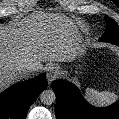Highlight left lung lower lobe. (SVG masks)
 <instances>
[{"label": "left lung lower lobe", "mask_w": 119, "mask_h": 119, "mask_svg": "<svg viewBox=\"0 0 119 119\" xmlns=\"http://www.w3.org/2000/svg\"><path fill=\"white\" fill-rule=\"evenodd\" d=\"M113 43L119 46L118 40ZM52 89L57 98V119H119V101L106 108H96L89 105L76 86L69 82L55 80Z\"/></svg>", "instance_id": "left-lung-lower-lobe-1"}]
</instances>
